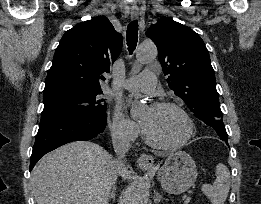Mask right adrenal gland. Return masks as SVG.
<instances>
[{"instance_id": "2a0ac1e0", "label": "right adrenal gland", "mask_w": 261, "mask_h": 204, "mask_svg": "<svg viewBox=\"0 0 261 204\" xmlns=\"http://www.w3.org/2000/svg\"><path fill=\"white\" fill-rule=\"evenodd\" d=\"M115 191H116V188L113 187V188H112V191H111V193H110V195H109V197H108L107 204H109L110 199H112L113 201H115Z\"/></svg>"}]
</instances>
